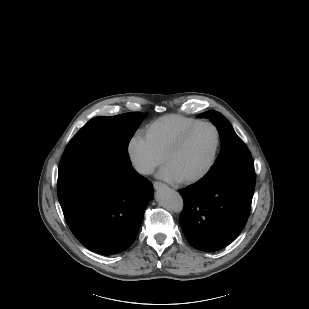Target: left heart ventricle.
Instances as JSON below:
<instances>
[{
    "label": "left heart ventricle",
    "instance_id": "b2bd125f",
    "mask_svg": "<svg viewBox=\"0 0 309 309\" xmlns=\"http://www.w3.org/2000/svg\"><path fill=\"white\" fill-rule=\"evenodd\" d=\"M216 143V134L212 127L197 128L170 158L171 165L182 179L201 172L208 164Z\"/></svg>",
    "mask_w": 309,
    "mask_h": 309
}]
</instances>
